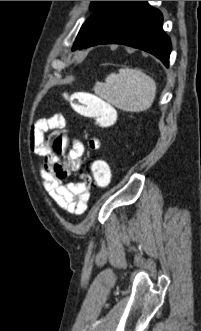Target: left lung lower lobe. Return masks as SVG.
<instances>
[{"label":"left lung lower lobe","instance_id":"1","mask_svg":"<svg viewBox=\"0 0 201 331\" xmlns=\"http://www.w3.org/2000/svg\"><path fill=\"white\" fill-rule=\"evenodd\" d=\"M162 14L147 1H119L74 50L98 44H124L149 52L169 67L171 42Z\"/></svg>","mask_w":201,"mask_h":331}]
</instances>
